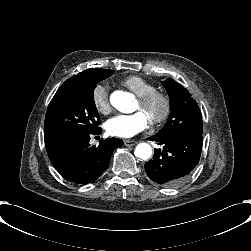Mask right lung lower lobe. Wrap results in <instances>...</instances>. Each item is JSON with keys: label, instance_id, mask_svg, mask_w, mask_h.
<instances>
[{"label": "right lung lower lobe", "instance_id": "right-lung-lower-lobe-1", "mask_svg": "<svg viewBox=\"0 0 251 251\" xmlns=\"http://www.w3.org/2000/svg\"><path fill=\"white\" fill-rule=\"evenodd\" d=\"M91 134L67 136L45 144L48 157L54 168L66 180L76 184H88L98 179L106 170L115 148L123 141L118 138L101 140L98 147L89 144Z\"/></svg>", "mask_w": 251, "mask_h": 251}]
</instances>
